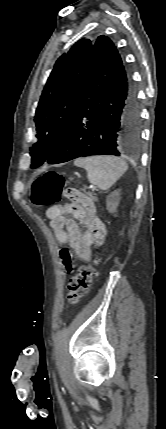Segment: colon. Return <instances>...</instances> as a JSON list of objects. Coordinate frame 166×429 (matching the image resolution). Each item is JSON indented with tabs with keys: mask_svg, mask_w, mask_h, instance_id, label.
Wrapping results in <instances>:
<instances>
[{
	"mask_svg": "<svg viewBox=\"0 0 166 429\" xmlns=\"http://www.w3.org/2000/svg\"><path fill=\"white\" fill-rule=\"evenodd\" d=\"M64 197L80 205H87L95 199L92 195H86L80 190L68 186L64 176L55 171H47L40 175L33 182L30 191V201L36 206L50 205L59 202ZM97 263L98 260L93 259L90 263L83 265L78 273L70 278L66 294L69 304H76L88 294L95 276Z\"/></svg>",
	"mask_w": 166,
	"mask_h": 429,
	"instance_id": "5ec220e1",
	"label": "colon"
}]
</instances>
